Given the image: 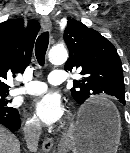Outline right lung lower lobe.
Wrapping results in <instances>:
<instances>
[{
  "instance_id": "1",
  "label": "right lung lower lobe",
  "mask_w": 130,
  "mask_h": 153,
  "mask_svg": "<svg viewBox=\"0 0 130 153\" xmlns=\"http://www.w3.org/2000/svg\"><path fill=\"white\" fill-rule=\"evenodd\" d=\"M20 118L17 110L8 111L0 108V124L7 127L10 131H17L20 128Z\"/></svg>"
}]
</instances>
